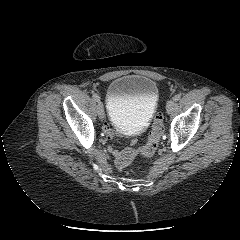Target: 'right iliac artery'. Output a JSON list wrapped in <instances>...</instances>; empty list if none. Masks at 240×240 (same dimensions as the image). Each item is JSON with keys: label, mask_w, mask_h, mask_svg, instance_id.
Segmentation results:
<instances>
[{"label": "right iliac artery", "mask_w": 240, "mask_h": 240, "mask_svg": "<svg viewBox=\"0 0 240 240\" xmlns=\"http://www.w3.org/2000/svg\"><path fill=\"white\" fill-rule=\"evenodd\" d=\"M93 98H94V100H95V101H97V102L100 100V97H99V95H98V94H96V93H95V94H93Z\"/></svg>", "instance_id": "82829eb1"}]
</instances>
